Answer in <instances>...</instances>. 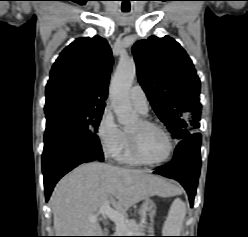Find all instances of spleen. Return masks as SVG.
<instances>
[{
    "mask_svg": "<svg viewBox=\"0 0 248 237\" xmlns=\"http://www.w3.org/2000/svg\"><path fill=\"white\" fill-rule=\"evenodd\" d=\"M186 215L185 203L177 198L173 201L163 226L165 236H179Z\"/></svg>",
    "mask_w": 248,
    "mask_h": 237,
    "instance_id": "spleen-1",
    "label": "spleen"
}]
</instances>
